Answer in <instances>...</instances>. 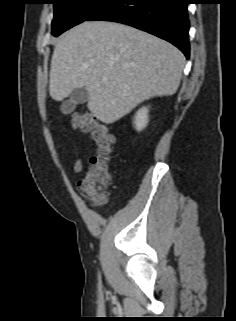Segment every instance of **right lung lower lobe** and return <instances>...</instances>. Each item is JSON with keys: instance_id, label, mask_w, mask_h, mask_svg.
Segmentation results:
<instances>
[{"instance_id": "obj_1", "label": "right lung lower lobe", "mask_w": 236, "mask_h": 321, "mask_svg": "<svg viewBox=\"0 0 236 321\" xmlns=\"http://www.w3.org/2000/svg\"><path fill=\"white\" fill-rule=\"evenodd\" d=\"M187 0H110L86 20L127 24L158 36L189 58Z\"/></svg>"}]
</instances>
